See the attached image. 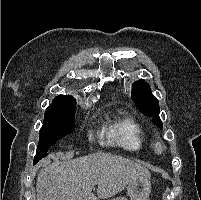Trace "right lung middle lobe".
Returning <instances> with one entry per match:
<instances>
[{
	"label": "right lung middle lobe",
	"instance_id": "right-lung-middle-lobe-1",
	"mask_svg": "<svg viewBox=\"0 0 201 200\" xmlns=\"http://www.w3.org/2000/svg\"><path fill=\"white\" fill-rule=\"evenodd\" d=\"M76 102H52L46 109L40 129L34 163L47 155L49 148L75 129Z\"/></svg>",
	"mask_w": 201,
	"mask_h": 200
}]
</instances>
